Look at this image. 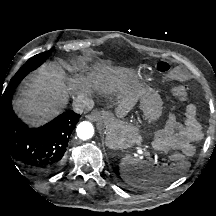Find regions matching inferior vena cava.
I'll use <instances>...</instances> for the list:
<instances>
[{"mask_svg": "<svg viewBox=\"0 0 216 216\" xmlns=\"http://www.w3.org/2000/svg\"><path fill=\"white\" fill-rule=\"evenodd\" d=\"M93 106V100L89 99L85 95L77 96L72 103L73 110L78 114L89 112Z\"/></svg>", "mask_w": 216, "mask_h": 216, "instance_id": "602c4592", "label": "inferior vena cava"}]
</instances>
